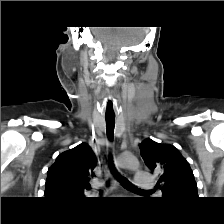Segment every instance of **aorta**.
<instances>
[{
    "label": "aorta",
    "instance_id": "1",
    "mask_svg": "<svg viewBox=\"0 0 224 224\" xmlns=\"http://www.w3.org/2000/svg\"><path fill=\"white\" fill-rule=\"evenodd\" d=\"M118 164L120 167L135 170L139 167L138 159L130 154H123L118 158Z\"/></svg>",
    "mask_w": 224,
    "mask_h": 224
}]
</instances>
